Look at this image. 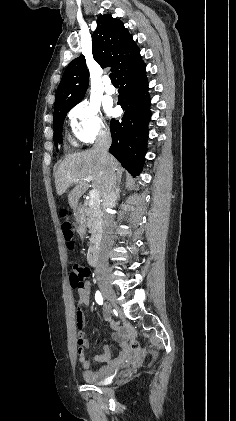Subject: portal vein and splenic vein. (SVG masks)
<instances>
[{"instance_id": "portal-vein-and-splenic-vein-1", "label": "portal vein and splenic vein", "mask_w": 236, "mask_h": 421, "mask_svg": "<svg viewBox=\"0 0 236 421\" xmlns=\"http://www.w3.org/2000/svg\"><path fill=\"white\" fill-rule=\"evenodd\" d=\"M72 180H76V178H72ZM85 180H93V176H90V174H87V176H85ZM89 202L90 204H99L100 202L99 192L98 190H96V188H92V190H90Z\"/></svg>"}]
</instances>
